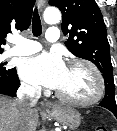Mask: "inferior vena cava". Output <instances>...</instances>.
I'll use <instances>...</instances> for the list:
<instances>
[{"label": "inferior vena cava", "mask_w": 117, "mask_h": 131, "mask_svg": "<svg viewBox=\"0 0 117 131\" xmlns=\"http://www.w3.org/2000/svg\"><path fill=\"white\" fill-rule=\"evenodd\" d=\"M41 95L40 86L21 85L17 91V101L22 111H29L34 107Z\"/></svg>", "instance_id": "602c4592"}]
</instances>
